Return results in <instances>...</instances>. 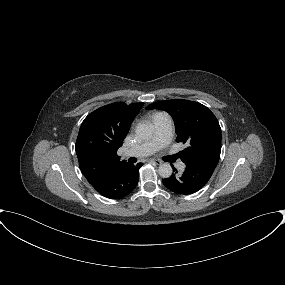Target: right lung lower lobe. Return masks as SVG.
I'll return each mask as SVG.
<instances>
[{
  "label": "right lung lower lobe",
  "instance_id": "right-lung-lower-lobe-1",
  "mask_svg": "<svg viewBox=\"0 0 285 285\" xmlns=\"http://www.w3.org/2000/svg\"><path fill=\"white\" fill-rule=\"evenodd\" d=\"M142 165V163L137 165L127 163L113 169L104 177L90 184L104 197L109 199L123 198L136 187L139 179V169Z\"/></svg>",
  "mask_w": 285,
  "mask_h": 285
}]
</instances>
